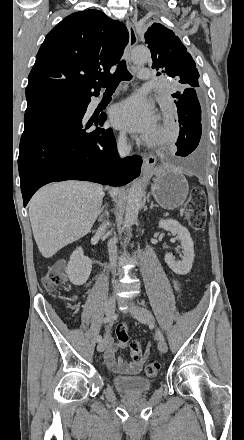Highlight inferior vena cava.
<instances>
[{
  "label": "inferior vena cava",
  "mask_w": 244,
  "mask_h": 440,
  "mask_svg": "<svg viewBox=\"0 0 244 440\" xmlns=\"http://www.w3.org/2000/svg\"><path fill=\"white\" fill-rule=\"evenodd\" d=\"M118 152L120 156H129V152L131 150L130 146H128L126 142V136L125 134H120L119 140H118ZM109 226L108 222L107 224H102L100 230H105ZM108 252H109V258L110 262L113 266L112 270L114 272L115 270V264H116V256H117V248H116V242L115 240H110L108 244Z\"/></svg>",
  "instance_id": "602c4592"
}]
</instances>
